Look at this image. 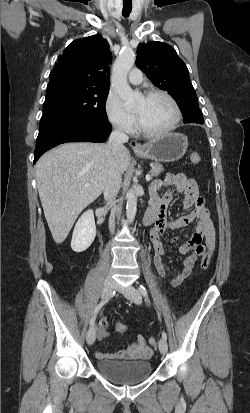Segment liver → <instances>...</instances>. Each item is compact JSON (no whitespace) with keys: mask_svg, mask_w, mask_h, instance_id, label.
<instances>
[{"mask_svg":"<svg viewBox=\"0 0 250 413\" xmlns=\"http://www.w3.org/2000/svg\"><path fill=\"white\" fill-rule=\"evenodd\" d=\"M107 150L108 143H65L36 163L39 197L57 244L67 238L81 211L103 192L110 169ZM129 161L130 154L123 146L115 155L113 167L122 174Z\"/></svg>","mask_w":250,"mask_h":413,"instance_id":"6515ba94","label":"liver"}]
</instances>
